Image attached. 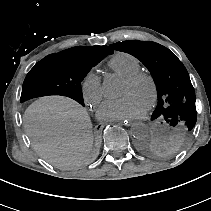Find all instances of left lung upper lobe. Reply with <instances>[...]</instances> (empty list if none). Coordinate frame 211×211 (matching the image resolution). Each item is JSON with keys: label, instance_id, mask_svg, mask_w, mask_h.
I'll return each instance as SVG.
<instances>
[{"label": "left lung upper lobe", "instance_id": "obj_1", "mask_svg": "<svg viewBox=\"0 0 211 211\" xmlns=\"http://www.w3.org/2000/svg\"><path fill=\"white\" fill-rule=\"evenodd\" d=\"M138 58L150 71L157 88L158 104L151 116L166 129L157 144L144 142L141 151L159 156L182 148L189 140L197 115L195 91L182 62L169 49L151 41H123L110 45Z\"/></svg>", "mask_w": 211, "mask_h": 211}]
</instances>
